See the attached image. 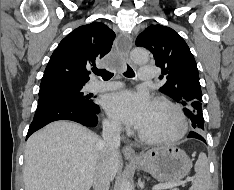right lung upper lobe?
<instances>
[{
  "mask_svg": "<svg viewBox=\"0 0 234 190\" xmlns=\"http://www.w3.org/2000/svg\"><path fill=\"white\" fill-rule=\"evenodd\" d=\"M114 38L115 33L101 22L76 28L51 55L41 82L57 79L85 84L89 69L110 51Z\"/></svg>",
  "mask_w": 234,
  "mask_h": 190,
  "instance_id": "right-lung-upper-lobe-1",
  "label": "right lung upper lobe"
}]
</instances>
